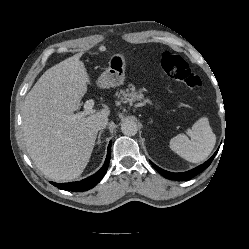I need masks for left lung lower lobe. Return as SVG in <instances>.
Instances as JSON below:
<instances>
[{"instance_id":"1","label":"left lung lower lobe","mask_w":249,"mask_h":249,"mask_svg":"<svg viewBox=\"0 0 249 249\" xmlns=\"http://www.w3.org/2000/svg\"><path fill=\"white\" fill-rule=\"evenodd\" d=\"M218 150L214 153V155L207 160L205 163L199 165L198 167L187 171V172H182V173H172V172H168L165 171L161 168H159L158 166H156L154 163L151 162V164L153 165V167L160 173L162 174L164 177L168 178V179H173V180H189L191 178H193L194 176H196L197 174L201 173L204 169H206L211 162L213 161L215 155L217 154Z\"/></svg>"}]
</instances>
